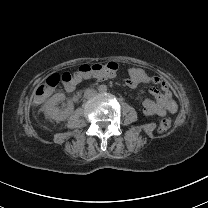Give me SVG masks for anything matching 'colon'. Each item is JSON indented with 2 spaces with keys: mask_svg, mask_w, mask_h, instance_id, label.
<instances>
[{
  "mask_svg": "<svg viewBox=\"0 0 208 208\" xmlns=\"http://www.w3.org/2000/svg\"><path fill=\"white\" fill-rule=\"evenodd\" d=\"M118 66L115 62H96L85 63L78 67L75 71L66 70L62 74L54 73L43 83L42 87L37 91L36 100L43 104L47 101L48 95L52 89L63 83L66 88L73 89L77 85L78 78L94 77L99 78L105 75L116 73ZM173 125V119L168 116L162 119L159 124L158 132L166 133Z\"/></svg>",
  "mask_w": 208,
  "mask_h": 208,
  "instance_id": "1",
  "label": "colon"
}]
</instances>
